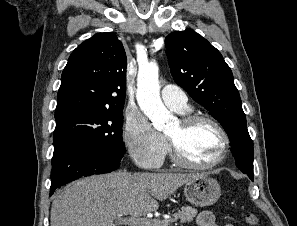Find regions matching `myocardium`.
<instances>
[{
	"instance_id": "1",
	"label": "myocardium",
	"mask_w": 297,
	"mask_h": 226,
	"mask_svg": "<svg viewBox=\"0 0 297 226\" xmlns=\"http://www.w3.org/2000/svg\"><path fill=\"white\" fill-rule=\"evenodd\" d=\"M199 122H208L212 124L220 132L223 138L221 151L219 153V156L212 162L207 164H199L191 161L185 155L178 141L166 135L174 162L183 168L194 169V170H206V169L214 168L223 162V160L226 157L227 151L229 149L230 137L227 131L225 130V128L222 126V124L219 121H217L215 118L205 114H187L182 116L179 119V123L181 127L185 130Z\"/></svg>"
}]
</instances>
